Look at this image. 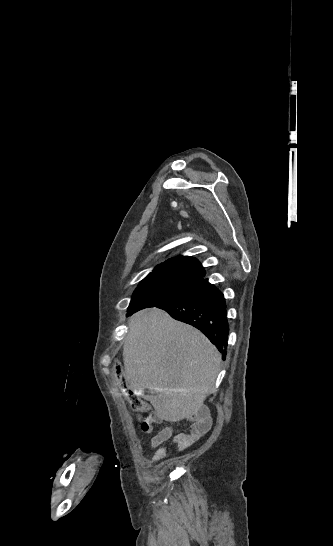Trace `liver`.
<instances>
[{
  "mask_svg": "<svg viewBox=\"0 0 333 546\" xmlns=\"http://www.w3.org/2000/svg\"><path fill=\"white\" fill-rule=\"evenodd\" d=\"M125 339L124 376L164 420L176 422L197 415L214 391L221 354L197 329L150 308L129 319Z\"/></svg>",
  "mask_w": 333,
  "mask_h": 546,
  "instance_id": "1",
  "label": "liver"
}]
</instances>
